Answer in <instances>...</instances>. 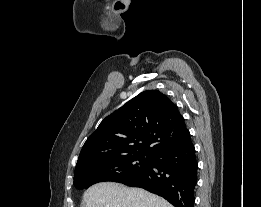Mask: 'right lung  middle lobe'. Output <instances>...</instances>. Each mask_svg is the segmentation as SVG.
I'll return each instance as SVG.
<instances>
[{"label":"right lung middle lobe","mask_w":261,"mask_h":207,"mask_svg":"<svg viewBox=\"0 0 261 207\" xmlns=\"http://www.w3.org/2000/svg\"><path fill=\"white\" fill-rule=\"evenodd\" d=\"M150 160L151 157L135 154L113 157L84 165L75 169L74 186L77 189H86L98 182H119L145 169Z\"/></svg>","instance_id":"1"}]
</instances>
